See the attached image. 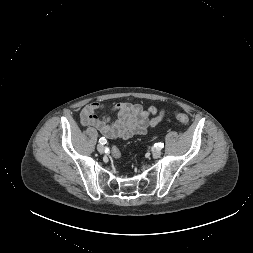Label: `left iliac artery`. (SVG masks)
I'll use <instances>...</instances> for the list:
<instances>
[{"mask_svg":"<svg viewBox=\"0 0 253 253\" xmlns=\"http://www.w3.org/2000/svg\"><path fill=\"white\" fill-rule=\"evenodd\" d=\"M158 147L159 148H163L164 147V143H158Z\"/></svg>","mask_w":253,"mask_h":253,"instance_id":"left-iliac-artery-1","label":"left iliac artery"}]
</instances>
